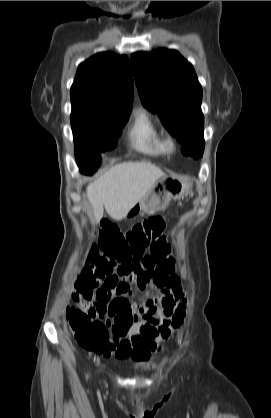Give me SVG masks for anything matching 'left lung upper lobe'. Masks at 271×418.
<instances>
[{"label":"left lung upper lobe","mask_w":271,"mask_h":418,"mask_svg":"<svg viewBox=\"0 0 271 418\" xmlns=\"http://www.w3.org/2000/svg\"><path fill=\"white\" fill-rule=\"evenodd\" d=\"M138 92L144 107L157 113L186 156L204 151L202 87L193 66L177 51L159 49L131 55Z\"/></svg>","instance_id":"5c2ea615"}]
</instances>
